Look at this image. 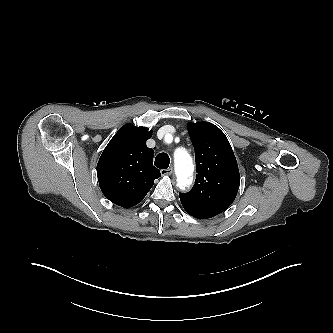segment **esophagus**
<instances>
[{
  "instance_id": "esophagus-1",
  "label": "esophagus",
  "mask_w": 333,
  "mask_h": 333,
  "mask_svg": "<svg viewBox=\"0 0 333 333\" xmlns=\"http://www.w3.org/2000/svg\"><path fill=\"white\" fill-rule=\"evenodd\" d=\"M160 173H161L162 176H168V175H171V174L173 173V168L170 167V168H168V169H162V170L160 171Z\"/></svg>"
}]
</instances>
